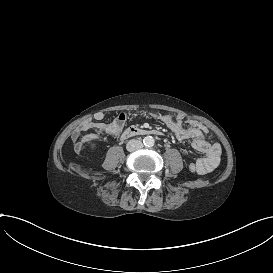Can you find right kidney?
Listing matches in <instances>:
<instances>
[{"instance_id": "obj_1", "label": "right kidney", "mask_w": 273, "mask_h": 273, "mask_svg": "<svg viewBox=\"0 0 273 273\" xmlns=\"http://www.w3.org/2000/svg\"><path fill=\"white\" fill-rule=\"evenodd\" d=\"M88 147H89V149H90L91 151H95V150L98 149L99 144H98L97 142L93 141V142H90V143H89Z\"/></svg>"}]
</instances>
